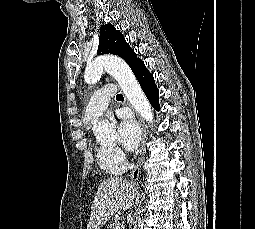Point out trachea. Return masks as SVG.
Segmentation results:
<instances>
[{"mask_svg":"<svg viewBox=\"0 0 255 229\" xmlns=\"http://www.w3.org/2000/svg\"><path fill=\"white\" fill-rule=\"evenodd\" d=\"M122 98H123L122 94H118V95L116 96V99H122Z\"/></svg>","mask_w":255,"mask_h":229,"instance_id":"obj_1","label":"trachea"}]
</instances>
